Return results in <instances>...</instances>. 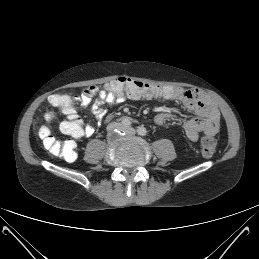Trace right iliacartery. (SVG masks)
Wrapping results in <instances>:
<instances>
[{
	"instance_id": "obj_1",
	"label": "right iliac artery",
	"mask_w": 259,
	"mask_h": 259,
	"mask_svg": "<svg viewBox=\"0 0 259 259\" xmlns=\"http://www.w3.org/2000/svg\"><path fill=\"white\" fill-rule=\"evenodd\" d=\"M122 124H123V126H125V127H129V126L131 125V121H130V119H128V118H124V119L122 120Z\"/></svg>"
}]
</instances>
